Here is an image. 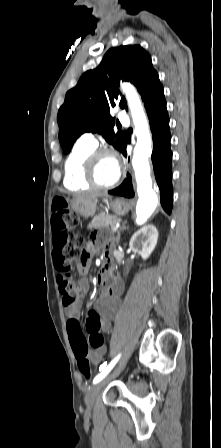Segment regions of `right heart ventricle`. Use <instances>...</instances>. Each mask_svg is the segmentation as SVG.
I'll use <instances>...</instances> for the list:
<instances>
[{"label": "right heart ventricle", "instance_id": "1", "mask_svg": "<svg viewBox=\"0 0 221 448\" xmlns=\"http://www.w3.org/2000/svg\"><path fill=\"white\" fill-rule=\"evenodd\" d=\"M95 148L78 142L66 158L64 165V186L70 190H86L91 187L83 177L85 157Z\"/></svg>", "mask_w": 221, "mask_h": 448}]
</instances>
